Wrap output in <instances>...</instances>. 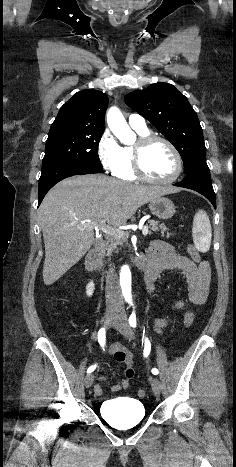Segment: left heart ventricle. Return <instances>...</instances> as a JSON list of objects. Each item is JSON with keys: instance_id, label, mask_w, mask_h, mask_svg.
Here are the masks:
<instances>
[{"instance_id": "left-heart-ventricle-1", "label": "left heart ventricle", "mask_w": 236, "mask_h": 467, "mask_svg": "<svg viewBox=\"0 0 236 467\" xmlns=\"http://www.w3.org/2000/svg\"><path fill=\"white\" fill-rule=\"evenodd\" d=\"M143 166L155 179L170 178L176 171V160L171 150L161 142L149 146L143 157Z\"/></svg>"}]
</instances>
